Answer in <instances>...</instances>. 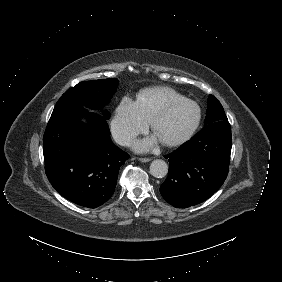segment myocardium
Segmentation results:
<instances>
[{"instance_id":"myocardium-1","label":"myocardium","mask_w":282,"mask_h":282,"mask_svg":"<svg viewBox=\"0 0 282 282\" xmlns=\"http://www.w3.org/2000/svg\"><path fill=\"white\" fill-rule=\"evenodd\" d=\"M186 104H192L195 106L196 108V115L194 120L191 122V124L187 127V129L178 137L172 139V140H163L161 139V142L166 145V146H178L181 145L183 143H185L187 140H189L191 138V136L193 135V133L195 132V130L197 129V127L199 126V123L201 121V108L200 106L188 99V98H181L178 100H174L171 101L169 103L166 104V106L161 109L158 113H156V115L154 116V118L152 119V129L153 131L156 133V128L158 123L173 109L178 108L180 106L186 105Z\"/></svg>"}]
</instances>
